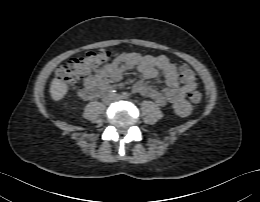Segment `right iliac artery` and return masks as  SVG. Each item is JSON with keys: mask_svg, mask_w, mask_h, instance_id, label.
<instances>
[{"mask_svg": "<svg viewBox=\"0 0 260 202\" xmlns=\"http://www.w3.org/2000/svg\"><path fill=\"white\" fill-rule=\"evenodd\" d=\"M109 94H110L111 96H115V95H116V91H115V90H111V91L109 92Z\"/></svg>", "mask_w": 260, "mask_h": 202, "instance_id": "82829eb1", "label": "right iliac artery"}]
</instances>
